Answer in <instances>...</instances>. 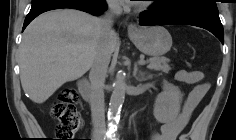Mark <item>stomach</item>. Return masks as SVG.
Returning a JSON list of instances; mask_svg holds the SVG:
<instances>
[{"label":"stomach","instance_id":"obj_1","mask_svg":"<svg viewBox=\"0 0 236 140\" xmlns=\"http://www.w3.org/2000/svg\"><path fill=\"white\" fill-rule=\"evenodd\" d=\"M129 37L141 52L154 57L164 55L172 46L171 35L161 26L138 28Z\"/></svg>","mask_w":236,"mask_h":140}]
</instances>
